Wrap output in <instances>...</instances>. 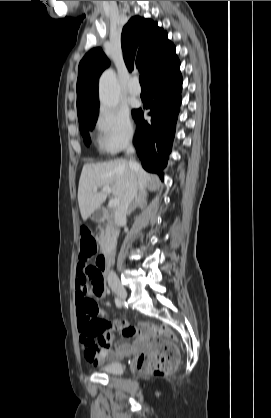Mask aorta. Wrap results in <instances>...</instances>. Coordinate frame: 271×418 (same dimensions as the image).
<instances>
[{
    "mask_svg": "<svg viewBox=\"0 0 271 418\" xmlns=\"http://www.w3.org/2000/svg\"><path fill=\"white\" fill-rule=\"evenodd\" d=\"M99 98L103 106L115 108L119 103V92L115 74L105 71L99 80Z\"/></svg>",
    "mask_w": 271,
    "mask_h": 418,
    "instance_id": "762f6f07",
    "label": "aorta"
}]
</instances>
